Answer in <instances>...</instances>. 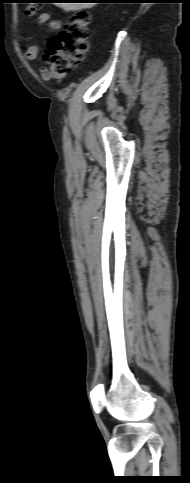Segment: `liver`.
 Listing matches in <instances>:
<instances>
[{
	"label": "liver",
	"mask_w": 190,
	"mask_h": 483,
	"mask_svg": "<svg viewBox=\"0 0 190 483\" xmlns=\"http://www.w3.org/2000/svg\"><path fill=\"white\" fill-rule=\"evenodd\" d=\"M95 3H56L64 11H76L84 8H91Z\"/></svg>",
	"instance_id": "liver-1"
}]
</instances>
